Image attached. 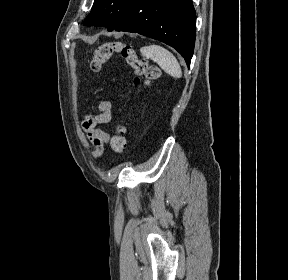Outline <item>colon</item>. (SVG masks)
<instances>
[{"label":"colon","instance_id":"colon-1","mask_svg":"<svg viewBox=\"0 0 288 280\" xmlns=\"http://www.w3.org/2000/svg\"><path fill=\"white\" fill-rule=\"evenodd\" d=\"M114 54H119L137 75L144 76V85L147 87L151 86L160 75L158 67L140 58L132 46L123 42H107L97 47L90 62L91 70L100 71ZM124 133V126L118 125L115 135L110 140L111 149L119 154L125 153L126 150Z\"/></svg>","mask_w":288,"mask_h":280}]
</instances>
